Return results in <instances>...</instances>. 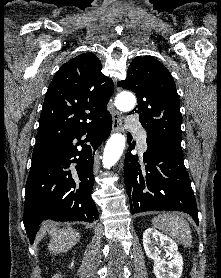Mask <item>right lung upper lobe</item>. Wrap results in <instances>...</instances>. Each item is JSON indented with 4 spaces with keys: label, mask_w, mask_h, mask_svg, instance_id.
Wrapping results in <instances>:
<instances>
[{
    "label": "right lung upper lobe",
    "mask_w": 221,
    "mask_h": 278,
    "mask_svg": "<svg viewBox=\"0 0 221 278\" xmlns=\"http://www.w3.org/2000/svg\"><path fill=\"white\" fill-rule=\"evenodd\" d=\"M91 52L63 64L49 85L34 149L42 148L76 128L110 115L111 79Z\"/></svg>",
    "instance_id": "obj_1"
}]
</instances>
